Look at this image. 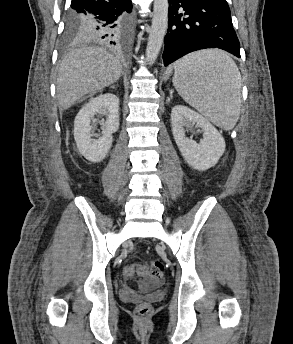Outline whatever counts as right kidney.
I'll return each instance as SVG.
<instances>
[{
  "label": "right kidney",
  "instance_id": "obj_1",
  "mask_svg": "<svg viewBox=\"0 0 293 344\" xmlns=\"http://www.w3.org/2000/svg\"><path fill=\"white\" fill-rule=\"evenodd\" d=\"M96 114H103L106 120L100 123L102 135L92 139L91 121ZM119 128V99L112 93L101 94L86 103L74 121V139L79 152L93 163L101 162L108 154L113 137Z\"/></svg>",
  "mask_w": 293,
  "mask_h": 344
}]
</instances>
